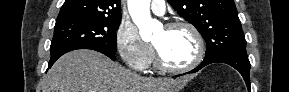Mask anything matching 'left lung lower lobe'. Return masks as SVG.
Wrapping results in <instances>:
<instances>
[{"mask_svg":"<svg viewBox=\"0 0 289 92\" xmlns=\"http://www.w3.org/2000/svg\"><path fill=\"white\" fill-rule=\"evenodd\" d=\"M218 62L226 63L232 66L233 68H235L237 71H239V73L242 75L243 79L245 80L248 91L251 92L250 77H249L250 62H249L247 55L237 54V53H226V54L215 55L213 57L204 59L203 62L198 67H196L195 69L187 73H195L208 64L218 63ZM181 75H177V76H181Z\"/></svg>","mask_w":289,"mask_h":92,"instance_id":"left-lung-lower-lobe-1","label":"left lung lower lobe"}]
</instances>
